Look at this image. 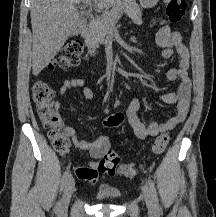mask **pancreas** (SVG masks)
Here are the masks:
<instances>
[{
	"mask_svg": "<svg viewBox=\"0 0 216 217\" xmlns=\"http://www.w3.org/2000/svg\"><path fill=\"white\" fill-rule=\"evenodd\" d=\"M123 13H126L134 23L142 24L141 10L136 1L122 0L110 11L91 22L85 35L86 45L91 49H95L99 44L104 43L109 30L114 27Z\"/></svg>",
	"mask_w": 216,
	"mask_h": 217,
	"instance_id": "pancreas-1",
	"label": "pancreas"
}]
</instances>
